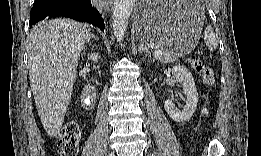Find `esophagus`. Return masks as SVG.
Segmentation results:
<instances>
[{
  "label": "esophagus",
  "mask_w": 261,
  "mask_h": 156,
  "mask_svg": "<svg viewBox=\"0 0 261 156\" xmlns=\"http://www.w3.org/2000/svg\"><path fill=\"white\" fill-rule=\"evenodd\" d=\"M112 5V2L111 1H106V2H103L102 4V7L105 9V10H109V7Z\"/></svg>",
  "instance_id": "esophagus-1"
}]
</instances>
